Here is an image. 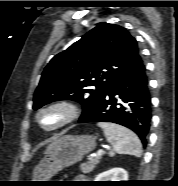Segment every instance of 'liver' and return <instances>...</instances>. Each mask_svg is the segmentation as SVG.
Masks as SVG:
<instances>
[{
    "label": "liver",
    "mask_w": 178,
    "mask_h": 186,
    "mask_svg": "<svg viewBox=\"0 0 178 186\" xmlns=\"http://www.w3.org/2000/svg\"><path fill=\"white\" fill-rule=\"evenodd\" d=\"M56 141H57V140H55L53 143H51V144L47 147L46 152L49 151V150L53 147V145L56 143ZM46 152H45V153H46Z\"/></svg>",
    "instance_id": "1"
}]
</instances>
